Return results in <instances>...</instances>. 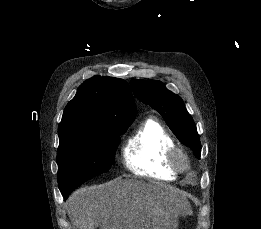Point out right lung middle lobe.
I'll return each instance as SVG.
<instances>
[{"label":"right lung middle lobe","instance_id":"right-lung-middle-lobe-1","mask_svg":"<svg viewBox=\"0 0 261 229\" xmlns=\"http://www.w3.org/2000/svg\"><path fill=\"white\" fill-rule=\"evenodd\" d=\"M129 126L130 123L98 128L96 135L59 145L58 184L65 200L78 186L110 169L114 163L119 136Z\"/></svg>","mask_w":261,"mask_h":229}]
</instances>
